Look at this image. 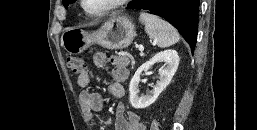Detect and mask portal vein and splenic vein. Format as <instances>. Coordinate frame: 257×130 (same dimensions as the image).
<instances>
[{
	"label": "portal vein and splenic vein",
	"mask_w": 257,
	"mask_h": 130,
	"mask_svg": "<svg viewBox=\"0 0 257 130\" xmlns=\"http://www.w3.org/2000/svg\"><path fill=\"white\" fill-rule=\"evenodd\" d=\"M137 48L142 52L144 50L143 46H137Z\"/></svg>",
	"instance_id": "portal-vein-and-splenic-vein-1"
}]
</instances>
